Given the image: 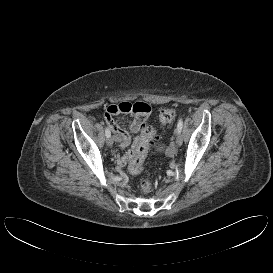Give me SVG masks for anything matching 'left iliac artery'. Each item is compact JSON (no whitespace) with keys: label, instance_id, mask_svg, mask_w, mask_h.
<instances>
[{"label":"left iliac artery","instance_id":"left-iliac-artery-1","mask_svg":"<svg viewBox=\"0 0 273 273\" xmlns=\"http://www.w3.org/2000/svg\"><path fill=\"white\" fill-rule=\"evenodd\" d=\"M182 127H183V120H182V118H181V119H179V121H178V123H177V131H178V132H181Z\"/></svg>","mask_w":273,"mask_h":273}]
</instances>
